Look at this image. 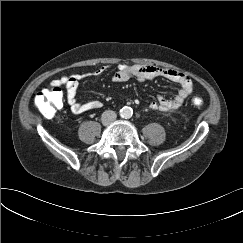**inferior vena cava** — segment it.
Instances as JSON below:
<instances>
[{
    "instance_id": "602c4592",
    "label": "inferior vena cava",
    "mask_w": 243,
    "mask_h": 243,
    "mask_svg": "<svg viewBox=\"0 0 243 243\" xmlns=\"http://www.w3.org/2000/svg\"><path fill=\"white\" fill-rule=\"evenodd\" d=\"M116 118H117V114L114 111L106 110L105 112H103L101 117L102 124L104 126L110 125L116 120Z\"/></svg>"
}]
</instances>
